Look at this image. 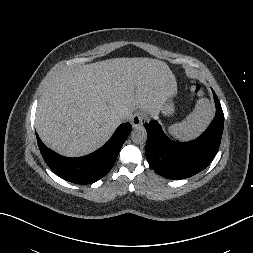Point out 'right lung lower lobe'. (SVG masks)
Returning <instances> with one entry per match:
<instances>
[{"label": "right lung lower lobe", "instance_id": "right-lung-lower-lobe-1", "mask_svg": "<svg viewBox=\"0 0 253 253\" xmlns=\"http://www.w3.org/2000/svg\"><path fill=\"white\" fill-rule=\"evenodd\" d=\"M131 130L129 123L120 125L107 144L80 158L63 157L46 147L37 134L36 137L42 157L54 173L72 183L90 184L111 170Z\"/></svg>", "mask_w": 253, "mask_h": 253}]
</instances>
